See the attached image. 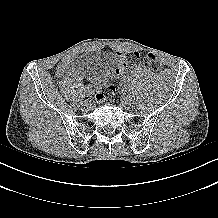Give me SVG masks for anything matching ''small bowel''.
<instances>
[{
  "label": "small bowel",
  "instance_id": "obj_1",
  "mask_svg": "<svg viewBox=\"0 0 218 218\" xmlns=\"http://www.w3.org/2000/svg\"><path fill=\"white\" fill-rule=\"evenodd\" d=\"M115 56L117 58L118 66L121 65L126 57L125 54L116 52ZM77 56L74 54H70L65 56L58 64H57V73L59 75H75L79 74V68L77 66L76 61Z\"/></svg>",
  "mask_w": 218,
  "mask_h": 218
}]
</instances>
